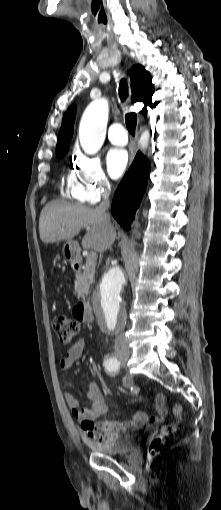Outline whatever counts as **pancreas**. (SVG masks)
Masks as SVG:
<instances>
[{"instance_id":"1","label":"pancreas","mask_w":221,"mask_h":510,"mask_svg":"<svg viewBox=\"0 0 221 510\" xmlns=\"http://www.w3.org/2000/svg\"><path fill=\"white\" fill-rule=\"evenodd\" d=\"M96 263L89 264L86 262L83 272L76 275L75 292L79 297H84L88 294L90 285L94 281Z\"/></svg>"}]
</instances>
